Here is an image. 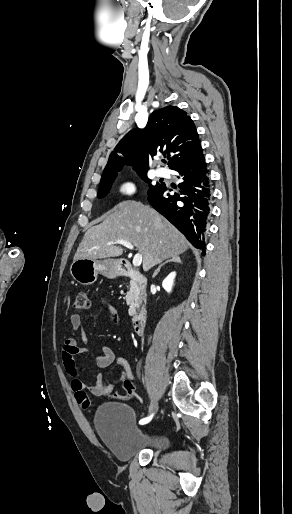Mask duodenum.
Listing matches in <instances>:
<instances>
[{"mask_svg":"<svg viewBox=\"0 0 292 514\" xmlns=\"http://www.w3.org/2000/svg\"><path fill=\"white\" fill-rule=\"evenodd\" d=\"M121 274L125 277L130 278L134 282V285L136 286V288L141 293L145 292L148 280L139 270H137L131 264H127L125 266V268L122 270ZM146 320H147V309H146L145 304L142 303L140 305L137 313L134 315V317L132 319V328L136 334L141 333L143 331Z\"/></svg>","mask_w":292,"mask_h":514,"instance_id":"duodenum-1","label":"duodenum"}]
</instances>
